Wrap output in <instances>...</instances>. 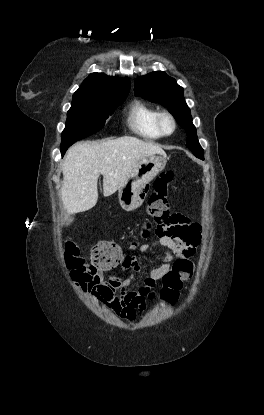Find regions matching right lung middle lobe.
Here are the masks:
<instances>
[{"mask_svg": "<svg viewBox=\"0 0 264 415\" xmlns=\"http://www.w3.org/2000/svg\"><path fill=\"white\" fill-rule=\"evenodd\" d=\"M126 96H99L73 98L67 112L66 127L62 132L61 150L86 138L105 125L106 119L125 100Z\"/></svg>", "mask_w": 264, "mask_h": 415, "instance_id": "1", "label": "right lung middle lobe"}]
</instances>
